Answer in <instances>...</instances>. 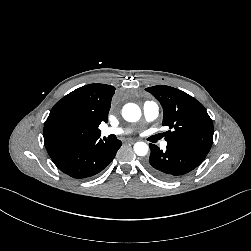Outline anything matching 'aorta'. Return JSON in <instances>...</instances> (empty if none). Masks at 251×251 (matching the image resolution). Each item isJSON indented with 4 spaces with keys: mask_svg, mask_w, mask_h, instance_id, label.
<instances>
[{
    "mask_svg": "<svg viewBox=\"0 0 251 251\" xmlns=\"http://www.w3.org/2000/svg\"><path fill=\"white\" fill-rule=\"evenodd\" d=\"M122 116L128 122H136L141 117V110L134 103H127L122 109ZM149 147L145 142H136L134 144V152L138 156H145L148 153Z\"/></svg>",
    "mask_w": 251,
    "mask_h": 251,
    "instance_id": "obj_1",
    "label": "aorta"
}]
</instances>
